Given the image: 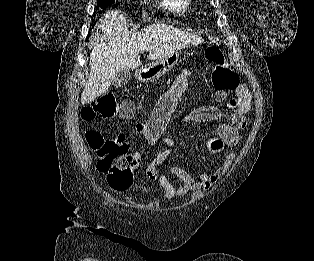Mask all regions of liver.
<instances>
[{
	"instance_id": "1",
	"label": "liver",
	"mask_w": 314,
	"mask_h": 261,
	"mask_svg": "<svg viewBox=\"0 0 314 261\" xmlns=\"http://www.w3.org/2000/svg\"><path fill=\"white\" fill-rule=\"evenodd\" d=\"M200 43V37L166 24H152L132 33L120 11L107 12L95 33L89 62L90 76L82 92L81 103H89L107 92L121 70L140 67L142 62L138 55L142 47H150L147 59L158 60Z\"/></svg>"
}]
</instances>
